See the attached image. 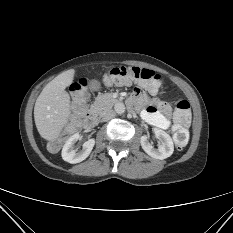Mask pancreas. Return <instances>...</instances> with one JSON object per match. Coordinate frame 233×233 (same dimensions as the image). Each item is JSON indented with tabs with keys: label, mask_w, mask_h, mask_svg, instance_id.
<instances>
[{
	"label": "pancreas",
	"mask_w": 233,
	"mask_h": 233,
	"mask_svg": "<svg viewBox=\"0 0 233 233\" xmlns=\"http://www.w3.org/2000/svg\"><path fill=\"white\" fill-rule=\"evenodd\" d=\"M117 99L113 98L112 93L99 94L94 103L90 107V112L96 116H102L106 111L110 110Z\"/></svg>",
	"instance_id": "pancreas-1"
}]
</instances>
